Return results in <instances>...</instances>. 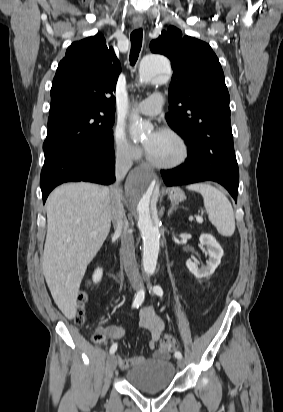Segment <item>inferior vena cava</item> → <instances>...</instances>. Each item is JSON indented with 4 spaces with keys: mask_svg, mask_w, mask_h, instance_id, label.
<instances>
[{
    "mask_svg": "<svg viewBox=\"0 0 283 412\" xmlns=\"http://www.w3.org/2000/svg\"><path fill=\"white\" fill-rule=\"evenodd\" d=\"M132 158L127 152H118L115 161L116 182L110 189V213L115 232L121 237V256L125 272L133 286H141V277L135 258L134 238L122 203L120 182L132 167Z\"/></svg>",
    "mask_w": 283,
    "mask_h": 412,
    "instance_id": "inferior-vena-cava-1",
    "label": "inferior vena cava"
}]
</instances>
